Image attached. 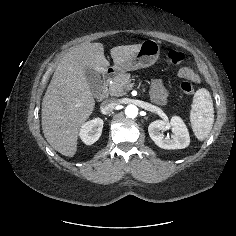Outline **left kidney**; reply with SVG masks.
<instances>
[{
  "instance_id": "obj_1",
  "label": "left kidney",
  "mask_w": 236,
  "mask_h": 236,
  "mask_svg": "<svg viewBox=\"0 0 236 236\" xmlns=\"http://www.w3.org/2000/svg\"><path fill=\"white\" fill-rule=\"evenodd\" d=\"M171 129L173 135L164 137L163 131ZM148 132L154 143L162 149H184L190 143L188 129L183 120L178 116H173L170 122L164 120L153 121Z\"/></svg>"
}]
</instances>
